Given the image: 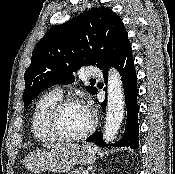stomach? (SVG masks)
Masks as SVG:
<instances>
[{"instance_id": "1", "label": "stomach", "mask_w": 175, "mask_h": 174, "mask_svg": "<svg viewBox=\"0 0 175 174\" xmlns=\"http://www.w3.org/2000/svg\"><path fill=\"white\" fill-rule=\"evenodd\" d=\"M95 159V149L89 144H82L73 149L54 148L33 151L27 156L25 165L33 173L44 171L66 173L75 165H88Z\"/></svg>"}]
</instances>
